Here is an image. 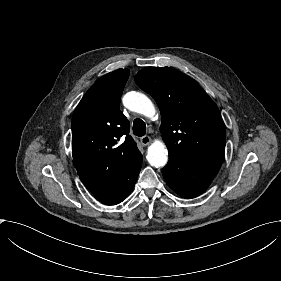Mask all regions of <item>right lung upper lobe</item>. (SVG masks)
Listing matches in <instances>:
<instances>
[{"mask_svg": "<svg viewBox=\"0 0 281 281\" xmlns=\"http://www.w3.org/2000/svg\"><path fill=\"white\" fill-rule=\"evenodd\" d=\"M129 73L118 69L99 78L73 114V164L93 194L115 181L140 154L129 135V121L119 109Z\"/></svg>", "mask_w": 281, "mask_h": 281, "instance_id": "right-lung-upper-lobe-1", "label": "right lung upper lobe"}]
</instances>
